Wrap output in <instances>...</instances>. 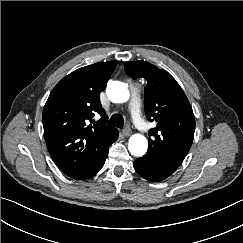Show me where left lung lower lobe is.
Instances as JSON below:
<instances>
[{
    "instance_id": "left-lung-lower-lobe-1",
    "label": "left lung lower lobe",
    "mask_w": 243,
    "mask_h": 243,
    "mask_svg": "<svg viewBox=\"0 0 243 243\" xmlns=\"http://www.w3.org/2000/svg\"><path fill=\"white\" fill-rule=\"evenodd\" d=\"M133 165L136 172L149 181H162L175 172L174 169L147 157L138 158Z\"/></svg>"
}]
</instances>
